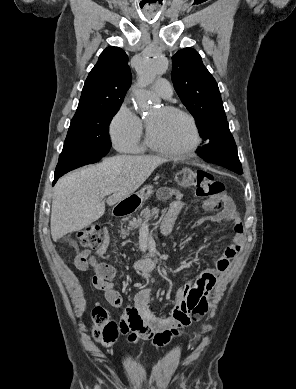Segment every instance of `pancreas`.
I'll list each match as a JSON object with an SVG mask.
<instances>
[{
    "label": "pancreas",
    "instance_id": "pancreas-1",
    "mask_svg": "<svg viewBox=\"0 0 296 389\" xmlns=\"http://www.w3.org/2000/svg\"><path fill=\"white\" fill-rule=\"evenodd\" d=\"M158 214H159L158 208H153L152 210H150L149 208H145L144 210L141 211L140 216H138L137 219H135V218L132 220H129V218L123 219V221H129V225H128L126 230L122 229L120 233L122 235H126L130 232V230L136 229L139 226H141L142 222L145 219H149L150 217L158 215Z\"/></svg>",
    "mask_w": 296,
    "mask_h": 389
}]
</instances>
